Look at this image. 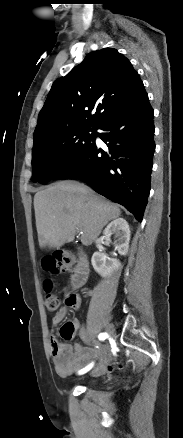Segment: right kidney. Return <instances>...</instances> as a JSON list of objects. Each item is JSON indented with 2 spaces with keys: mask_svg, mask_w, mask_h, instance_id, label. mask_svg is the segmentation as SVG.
<instances>
[{
  "mask_svg": "<svg viewBox=\"0 0 183 438\" xmlns=\"http://www.w3.org/2000/svg\"><path fill=\"white\" fill-rule=\"evenodd\" d=\"M130 227L127 221L123 218H117L107 225L103 231V239L107 242L110 240L111 235H115L117 240L114 242L115 250L120 255H126L129 249L130 241ZM91 263L95 271L102 277H109L111 273L118 269L120 261L117 259L109 258L106 254L101 252H95L92 256Z\"/></svg>",
  "mask_w": 183,
  "mask_h": 438,
  "instance_id": "right-kidney-1",
  "label": "right kidney"
}]
</instances>
